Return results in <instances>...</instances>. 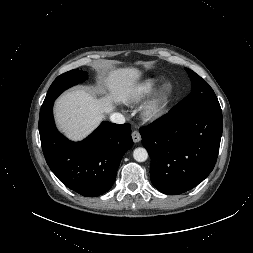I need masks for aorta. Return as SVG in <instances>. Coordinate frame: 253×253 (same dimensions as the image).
<instances>
[{"label": "aorta", "instance_id": "aorta-1", "mask_svg": "<svg viewBox=\"0 0 253 253\" xmlns=\"http://www.w3.org/2000/svg\"><path fill=\"white\" fill-rule=\"evenodd\" d=\"M133 157L137 162H144L148 158V152L145 148L139 147L133 151Z\"/></svg>", "mask_w": 253, "mask_h": 253}]
</instances>
